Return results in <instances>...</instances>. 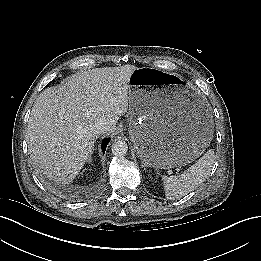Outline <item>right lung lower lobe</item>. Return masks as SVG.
<instances>
[{
	"label": "right lung lower lobe",
	"mask_w": 261,
	"mask_h": 261,
	"mask_svg": "<svg viewBox=\"0 0 261 261\" xmlns=\"http://www.w3.org/2000/svg\"><path fill=\"white\" fill-rule=\"evenodd\" d=\"M109 141H110L109 138L104 139V141H103V143H102V150H103V152H105L106 146H107V144H108Z\"/></svg>",
	"instance_id": "right-lung-lower-lobe-1"
}]
</instances>
